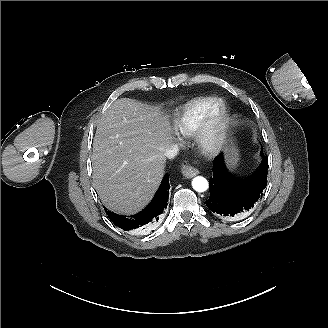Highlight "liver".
Here are the masks:
<instances>
[{
  "instance_id": "1",
  "label": "liver",
  "mask_w": 328,
  "mask_h": 328,
  "mask_svg": "<svg viewBox=\"0 0 328 328\" xmlns=\"http://www.w3.org/2000/svg\"><path fill=\"white\" fill-rule=\"evenodd\" d=\"M158 106L115 100L97 120L91 156L93 187L103 205L131 215L153 199L165 173L164 152L180 120Z\"/></svg>"
}]
</instances>
